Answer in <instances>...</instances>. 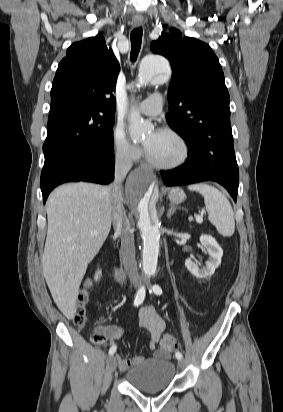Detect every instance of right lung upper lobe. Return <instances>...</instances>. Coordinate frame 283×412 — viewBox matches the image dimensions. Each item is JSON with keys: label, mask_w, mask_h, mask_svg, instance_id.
Instances as JSON below:
<instances>
[{"label": "right lung upper lobe", "mask_w": 283, "mask_h": 412, "mask_svg": "<svg viewBox=\"0 0 283 412\" xmlns=\"http://www.w3.org/2000/svg\"><path fill=\"white\" fill-rule=\"evenodd\" d=\"M56 71L49 115L70 108L97 109L115 114V85L119 63L102 36L73 43Z\"/></svg>", "instance_id": "right-lung-upper-lobe-1"}]
</instances>
